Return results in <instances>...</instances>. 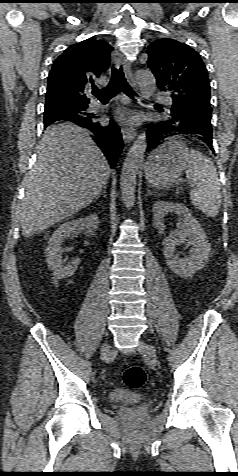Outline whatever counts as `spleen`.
Wrapping results in <instances>:
<instances>
[{
    "label": "spleen",
    "mask_w": 238,
    "mask_h": 476,
    "mask_svg": "<svg viewBox=\"0 0 238 476\" xmlns=\"http://www.w3.org/2000/svg\"><path fill=\"white\" fill-rule=\"evenodd\" d=\"M186 177L191 185L192 204L209 217H215L221 206V188L214 163L197 150L189 152Z\"/></svg>",
    "instance_id": "3e777b00"
}]
</instances>
